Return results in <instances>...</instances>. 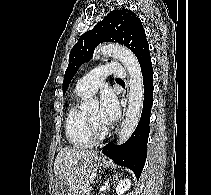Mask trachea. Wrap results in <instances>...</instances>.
I'll use <instances>...</instances> for the list:
<instances>
[{"label":"trachea","instance_id":"obj_1","mask_svg":"<svg viewBox=\"0 0 211 195\" xmlns=\"http://www.w3.org/2000/svg\"><path fill=\"white\" fill-rule=\"evenodd\" d=\"M116 81H117V82H122V80H121V79H119V78H117V79H116Z\"/></svg>","mask_w":211,"mask_h":195}]
</instances>
